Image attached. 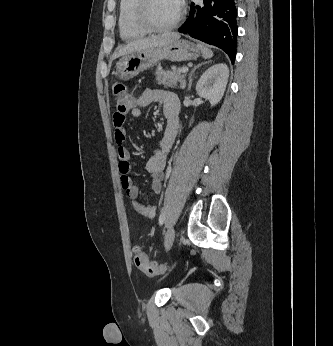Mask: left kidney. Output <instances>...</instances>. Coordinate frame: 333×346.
Here are the masks:
<instances>
[{
  "instance_id": "left-kidney-1",
  "label": "left kidney",
  "mask_w": 333,
  "mask_h": 346,
  "mask_svg": "<svg viewBox=\"0 0 333 346\" xmlns=\"http://www.w3.org/2000/svg\"><path fill=\"white\" fill-rule=\"evenodd\" d=\"M229 77L228 66L218 63L208 68L196 84V92L200 97L209 100L211 106L222 99Z\"/></svg>"
}]
</instances>
